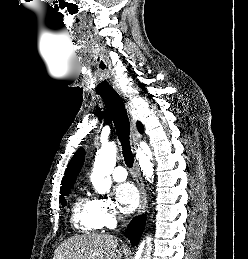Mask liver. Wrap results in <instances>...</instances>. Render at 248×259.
I'll use <instances>...</instances> for the list:
<instances>
[{
	"label": "liver",
	"mask_w": 248,
	"mask_h": 259,
	"mask_svg": "<svg viewBox=\"0 0 248 259\" xmlns=\"http://www.w3.org/2000/svg\"><path fill=\"white\" fill-rule=\"evenodd\" d=\"M118 239L108 234H83L64 240L53 259H122L126 247L117 249Z\"/></svg>",
	"instance_id": "liver-1"
}]
</instances>
